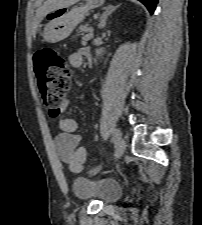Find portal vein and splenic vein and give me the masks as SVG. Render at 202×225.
<instances>
[{
    "instance_id": "obj_1",
    "label": "portal vein and splenic vein",
    "mask_w": 202,
    "mask_h": 225,
    "mask_svg": "<svg viewBox=\"0 0 202 225\" xmlns=\"http://www.w3.org/2000/svg\"><path fill=\"white\" fill-rule=\"evenodd\" d=\"M92 38H93V31L90 30L89 33L86 34V35L82 38V40H83V42H85V41H88V40H90V39H92Z\"/></svg>"
}]
</instances>
